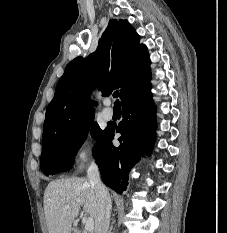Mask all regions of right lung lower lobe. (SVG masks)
<instances>
[{
	"label": "right lung lower lobe",
	"mask_w": 227,
	"mask_h": 233,
	"mask_svg": "<svg viewBox=\"0 0 227 233\" xmlns=\"http://www.w3.org/2000/svg\"><path fill=\"white\" fill-rule=\"evenodd\" d=\"M151 85L122 102L123 119L107 132L94 154L104 183L121 194L128 185V174L139 161V154H149L155 141V107ZM120 133L119 147L112 144L114 132Z\"/></svg>",
	"instance_id": "98d812e1"
}]
</instances>
